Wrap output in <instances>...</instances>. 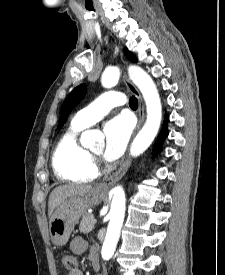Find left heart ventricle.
<instances>
[{
	"instance_id": "1",
	"label": "left heart ventricle",
	"mask_w": 225,
	"mask_h": 275,
	"mask_svg": "<svg viewBox=\"0 0 225 275\" xmlns=\"http://www.w3.org/2000/svg\"><path fill=\"white\" fill-rule=\"evenodd\" d=\"M103 146L100 145L98 148L94 149L93 152L100 154L102 152Z\"/></svg>"
}]
</instances>
